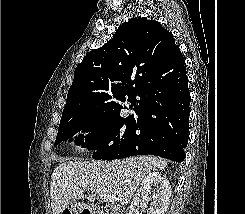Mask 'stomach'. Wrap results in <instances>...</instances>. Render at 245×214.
I'll return each instance as SVG.
<instances>
[{"label": "stomach", "instance_id": "obj_1", "mask_svg": "<svg viewBox=\"0 0 245 214\" xmlns=\"http://www.w3.org/2000/svg\"><path fill=\"white\" fill-rule=\"evenodd\" d=\"M66 210L68 214H80L83 210V206L80 203L72 202L67 206ZM62 213H64V211Z\"/></svg>", "mask_w": 245, "mask_h": 214}]
</instances>
